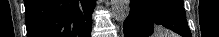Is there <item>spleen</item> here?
<instances>
[{"instance_id":"spleen-1","label":"spleen","mask_w":219,"mask_h":37,"mask_svg":"<svg viewBox=\"0 0 219 37\" xmlns=\"http://www.w3.org/2000/svg\"><path fill=\"white\" fill-rule=\"evenodd\" d=\"M152 37H177L175 34L170 33L162 27H157L155 29L154 35Z\"/></svg>"}]
</instances>
